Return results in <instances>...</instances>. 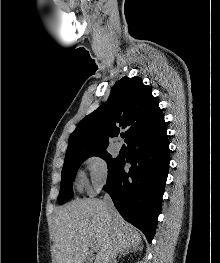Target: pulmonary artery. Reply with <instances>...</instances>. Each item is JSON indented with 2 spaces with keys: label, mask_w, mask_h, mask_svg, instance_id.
I'll use <instances>...</instances> for the list:
<instances>
[{
  "label": "pulmonary artery",
  "mask_w": 220,
  "mask_h": 263,
  "mask_svg": "<svg viewBox=\"0 0 220 263\" xmlns=\"http://www.w3.org/2000/svg\"><path fill=\"white\" fill-rule=\"evenodd\" d=\"M115 148H116V150H121V148H122V143L119 142V141H117V142L115 143Z\"/></svg>",
  "instance_id": "e3ab8cb5"
}]
</instances>
